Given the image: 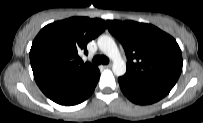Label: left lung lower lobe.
I'll list each match as a JSON object with an SVG mask.
<instances>
[{
	"label": "left lung lower lobe",
	"instance_id": "obj_1",
	"mask_svg": "<svg viewBox=\"0 0 203 123\" xmlns=\"http://www.w3.org/2000/svg\"><path fill=\"white\" fill-rule=\"evenodd\" d=\"M124 95L132 102L140 105L152 104L165 97L172 88L154 82L140 80L124 75L118 78Z\"/></svg>",
	"mask_w": 203,
	"mask_h": 123
}]
</instances>
